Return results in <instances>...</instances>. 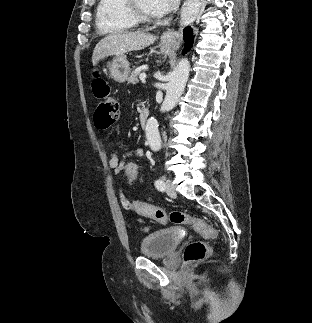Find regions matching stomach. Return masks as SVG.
Listing matches in <instances>:
<instances>
[{"label":"stomach","instance_id":"0dacf381","mask_svg":"<svg viewBox=\"0 0 312 323\" xmlns=\"http://www.w3.org/2000/svg\"><path fill=\"white\" fill-rule=\"evenodd\" d=\"M160 46L162 54H168V46L165 38H161ZM109 72L115 82H126L131 72L126 56H116L109 66Z\"/></svg>","mask_w":312,"mask_h":323}]
</instances>
